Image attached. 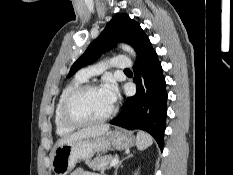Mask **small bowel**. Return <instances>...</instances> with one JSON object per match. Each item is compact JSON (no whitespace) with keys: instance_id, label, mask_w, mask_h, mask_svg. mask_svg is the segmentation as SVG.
<instances>
[{"instance_id":"obj_1","label":"small bowel","mask_w":233,"mask_h":175,"mask_svg":"<svg viewBox=\"0 0 233 175\" xmlns=\"http://www.w3.org/2000/svg\"><path fill=\"white\" fill-rule=\"evenodd\" d=\"M71 175H105V174H99L96 172H89V171H85L83 169H75Z\"/></svg>"}]
</instances>
